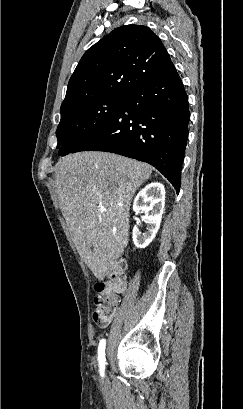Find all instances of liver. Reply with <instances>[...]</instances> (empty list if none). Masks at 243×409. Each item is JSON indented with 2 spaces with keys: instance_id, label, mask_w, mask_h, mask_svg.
<instances>
[{
  "instance_id": "1",
  "label": "liver",
  "mask_w": 243,
  "mask_h": 409,
  "mask_svg": "<svg viewBox=\"0 0 243 409\" xmlns=\"http://www.w3.org/2000/svg\"><path fill=\"white\" fill-rule=\"evenodd\" d=\"M151 173L146 163L108 152L70 154L56 164L60 209L79 255L99 280L128 245L131 201Z\"/></svg>"
}]
</instances>
